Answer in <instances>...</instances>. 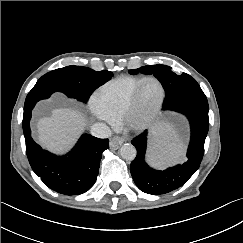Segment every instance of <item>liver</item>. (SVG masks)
I'll return each instance as SVG.
<instances>
[{"mask_svg":"<svg viewBox=\"0 0 243 243\" xmlns=\"http://www.w3.org/2000/svg\"><path fill=\"white\" fill-rule=\"evenodd\" d=\"M87 124L79 109L58 107L51 110L50 116L38 120L37 139L42 147L62 153L73 145Z\"/></svg>","mask_w":243,"mask_h":243,"instance_id":"liver-1","label":"liver"}]
</instances>
